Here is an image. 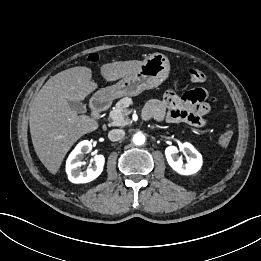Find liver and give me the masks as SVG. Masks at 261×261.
<instances>
[{
	"instance_id": "liver-1",
	"label": "liver",
	"mask_w": 261,
	"mask_h": 261,
	"mask_svg": "<svg viewBox=\"0 0 261 261\" xmlns=\"http://www.w3.org/2000/svg\"><path fill=\"white\" fill-rule=\"evenodd\" d=\"M142 61L107 63L100 72L106 81H115L133 73ZM92 71L77 66L51 77L30 105L29 126L34 150L47 170L56 174L71 146L83 135L98 128L88 115H79L69 101H82L97 89Z\"/></svg>"
}]
</instances>
